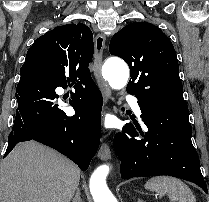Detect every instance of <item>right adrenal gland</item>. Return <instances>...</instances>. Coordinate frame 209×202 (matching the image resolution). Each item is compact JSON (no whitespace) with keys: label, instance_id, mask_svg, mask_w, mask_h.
<instances>
[{"label":"right adrenal gland","instance_id":"obj_1","mask_svg":"<svg viewBox=\"0 0 209 202\" xmlns=\"http://www.w3.org/2000/svg\"><path fill=\"white\" fill-rule=\"evenodd\" d=\"M72 202H83L81 198L80 188L76 189L75 197L72 199Z\"/></svg>","mask_w":209,"mask_h":202}]
</instances>
